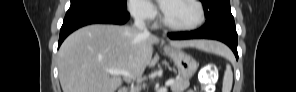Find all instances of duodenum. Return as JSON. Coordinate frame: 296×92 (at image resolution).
Here are the masks:
<instances>
[{
  "label": "duodenum",
  "instance_id": "410a0bca",
  "mask_svg": "<svg viewBox=\"0 0 296 92\" xmlns=\"http://www.w3.org/2000/svg\"><path fill=\"white\" fill-rule=\"evenodd\" d=\"M122 92H127L126 90H123Z\"/></svg>",
  "mask_w": 296,
  "mask_h": 92
}]
</instances>
